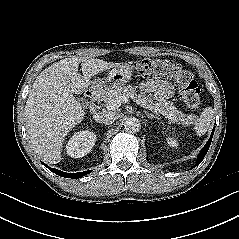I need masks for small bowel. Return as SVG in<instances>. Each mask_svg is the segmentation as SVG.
<instances>
[{
  "label": "small bowel",
  "mask_w": 239,
  "mask_h": 239,
  "mask_svg": "<svg viewBox=\"0 0 239 239\" xmlns=\"http://www.w3.org/2000/svg\"><path fill=\"white\" fill-rule=\"evenodd\" d=\"M141 88L156 94L158 99H167L173 93L172 85L165 80H150L142 84Z\"/></svg>",
  "instance_id": "c3829d8e"
}]
</instances>
